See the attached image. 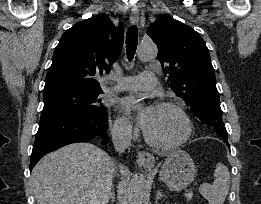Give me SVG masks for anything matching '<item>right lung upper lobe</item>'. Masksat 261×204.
Instances as JSON below:
<instances>
[{
  "label": "right lung upper lobe",
  "instance_id": "obj_1",
  "mask_svg": "<svg viewBox=\"0 0 261 204\" xmlns=\"http://www.w3.org/2000/svg\"><path fill=\"white\" fill-rule=\"evenodd\" d=\"M123 26L107 15L91 17L68 29L57 45L43 94L65 90H101L99 77L119 57Z\"/></svg>",
  "mask_w": 261,
  "mask_h": 204
}]
</instances>
